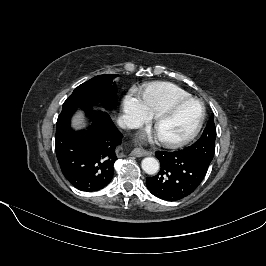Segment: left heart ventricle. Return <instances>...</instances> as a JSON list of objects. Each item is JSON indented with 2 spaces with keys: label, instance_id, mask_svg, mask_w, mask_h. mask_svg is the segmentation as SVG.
Masks as SVG:
<instances>
[{
  "label": "left heart ventricle",
  "instance_id": "obj_1",
  "mask_svg": "<svg viewBox=\"0 0 266 266\" xmlns=\"http://www.w3.org/2000/svg\"><path fill=\"white\" fill-rule=\"evenodd\" d=\"M201 114L202 108L199 104H188L162 121L156 130L157 135L162 139H181L193 131Z\"/></svg>",
  "mask_w": 266,
  "mask_h": 266
}]
</instances>
